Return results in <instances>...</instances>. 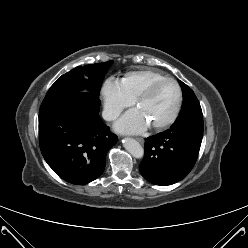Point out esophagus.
<instances>
[{"instance_id":"34e87169","label":"esophagus","mask_w":248,"mask_h":248,"mask_svg":"<svg viewBox=\"0 0 248 248\" xmlns=\"http://www.w3.org/2000/svg\"><path fill=\"white\" fill-rule=\"evenodd\" d=\"M136 140L140 143H144V140L142 138H136Z\"/></svg>"}]
</instances>
